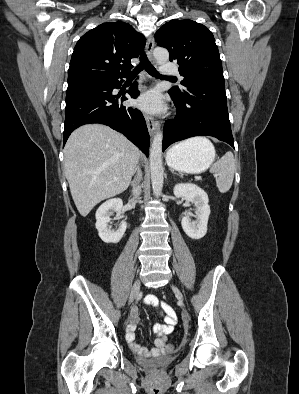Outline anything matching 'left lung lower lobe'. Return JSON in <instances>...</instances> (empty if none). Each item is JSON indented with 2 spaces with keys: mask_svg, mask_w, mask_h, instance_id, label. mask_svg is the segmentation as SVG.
<instances>
[{
  "mask_svg": "<svg viewBox=\"0 0 299 394\" xmlns=\"http://www.w3.org/2000/svg\"><path fill=\"white\" fill-rule=\"evenodd\" d=\"M169 94L177 115L164 125L163 151L174 142L202 135L214 136L234 148L224 80L194 79L185 84L181 93L171 89Z\"/></svg>",
  "mask_w": 299,
  "mask_h": 394,
  "instance_id": "0a47b994",
  "label": "left lung lower lobe"
}]
</instances>
